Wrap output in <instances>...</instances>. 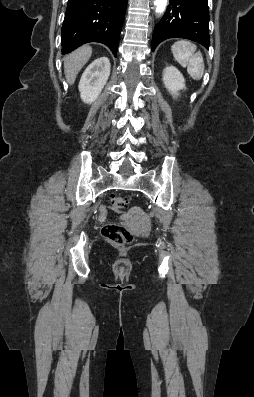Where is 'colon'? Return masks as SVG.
I'll list each match as a JSON object with an SVG mask.
<instances>
[{
	"instance_id": "obj_1",
	"label": "colon",
	"mask_w": 254,
	"mask_h": 397,
	"mask_svg": "<svg viewBox=\"0 0 254 397\" xmlns=\"http://www.w3.org/2000/svg\"><path fill=\"white\" fill-rule=\"evenodd\" d=\"M129 203V199L115 195L110 200V207L115 212H123ZM104 238L115 246H128L133 242V235L123 225L113 223L107 224L102 229Z\"/></svg>"
}]
</instances>
